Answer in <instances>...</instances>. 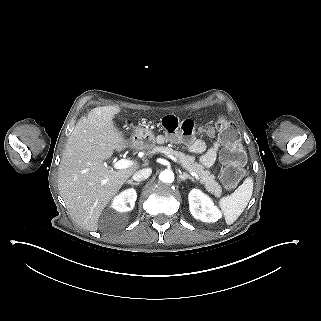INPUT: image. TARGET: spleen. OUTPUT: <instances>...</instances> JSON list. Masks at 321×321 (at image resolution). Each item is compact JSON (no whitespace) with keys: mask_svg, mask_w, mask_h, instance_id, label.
I'll return each instance as SVG.
<instances>
[{"mask_svg":"<svg viewBox=\"0 0 321 321\" xmlns=\"http://www.w3.org/2000/svg\"><path fill=\"white\" fill-rule=\"evenodd\" d=\"M253 182V177L247 176L234 193L219 199L218 207L226 225L233 224L246 208L252 196Z\"/></svg>","mask_w":321,"mask_h":321,"instance_id":"obj_1","label":"spleen"}]
</instances>
